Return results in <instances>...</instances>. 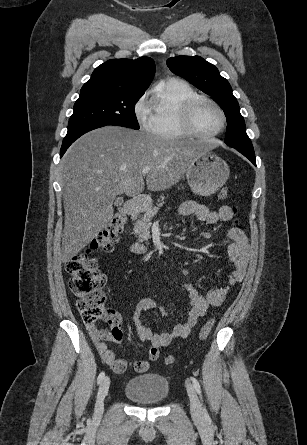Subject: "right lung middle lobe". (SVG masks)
Here are the masks:
<instances>
[{
  "instance_id": "dd1d6c3e",
  "label": "right lung middle lobe",
  "mask_w": 307,
  "mask_h": 445,
  "mask_svg": "<svg viewBox=\"0 0 307 445\" xmlns=\"http://www.w3.org/2000/svg\"><path fill=\"white\" fill-rule=\"evenodd\" d=\"M139 98L102 94L80 96L69 119L68 132L91 125H115L138 130L134 109Z\"/></svg>"
}]
</instances>
